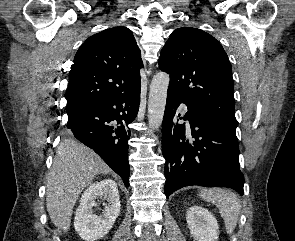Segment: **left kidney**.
<instances>
[{"label": "left kidney", "mask_w": 295, "mask_h": 241, "mask_svg": "<svg viewBox=\"0 0 295 241\" xmlns=\"http://www.w3.org/2000/svg\"><path fill=\"white\" fill-rule=\"evenodd\" d=\"M186 221L195 241H217L219 226L216 218L201 206H191L187 210Z\"/></svg>", "instance_id": "obj_1"}]
</instances>
